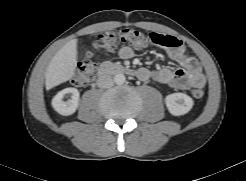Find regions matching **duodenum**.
Instances as JSON below:
<instances>
[{"label": "duodenum", "mask_w": 246, "mask_h": 181, "mask_svg": "<svg viewBox=\"0 0 246 181\" xmlns=\"http://www.w3.org/2000/svg\"><path fill=\"white\" fill-rule=\"evenodd\" d=\"M109 74H127L131 76H138L139 72L129 67L111 64V63H104L97 72L98 78H103Z\"/></svg>", "instance_id": "410a0bca"}]
</instances>
